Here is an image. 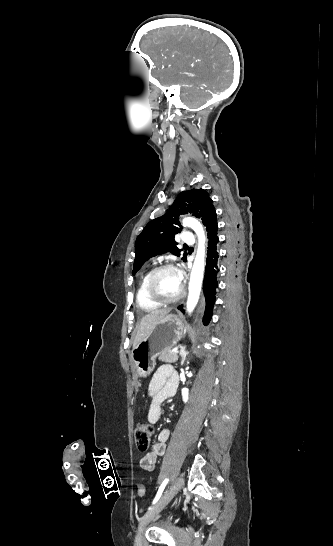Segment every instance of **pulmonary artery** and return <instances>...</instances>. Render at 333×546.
Masks as SVG:
<instances>
[{
  "mask_svg": "<svg viewBox=\"0 0 333 546\" xmlns=\"http://www.w3.org/2000/svg\"><path fill=\"white\" fill-rule=\"evenodd\" d=\"M182 242L192 244L195 241L194 235L191 232H184L181 237Z\"/></svg>",
  "mask_w": 333,
  "mask_h": 546,
  "instance_id": "e3ab8cb5",
  "label": "pulmonary artery"
}]
</instances>
